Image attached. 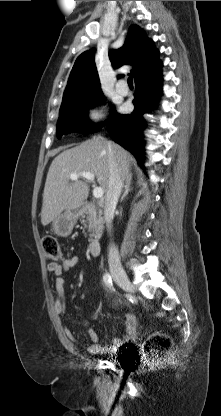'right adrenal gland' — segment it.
<instances>
[{
  "mask_svg": "<svg viewBox=\"0 0 221 416\" xmlns=\"http://www.w3.org/2000/svg\"><path fill=\"white\" fill-rule=\"evenodd\" d=\"M131 177L127 180L126 185L124 186V192L121 196L120 202H122L128 193L131 191Z\"/></svg>",
  "mask_w": 221,
  "mask_h": 416,
  "instance_id": "right-adrenal-gland-1",
  "label": "right adrenal gland"
}]
</instances>
